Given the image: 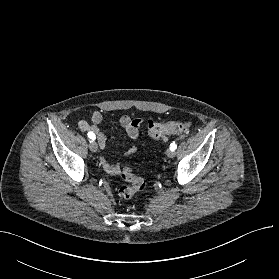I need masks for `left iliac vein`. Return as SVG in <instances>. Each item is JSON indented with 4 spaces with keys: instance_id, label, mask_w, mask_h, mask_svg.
I'll return each instance as SVG.
<instances>
[{
    "instance_id": "left-iliac-vein-1",
    "label": "left iliac vein",
    "mask_w": 279,
    "mask_h": 279,
    "mask_svg": "<svg viewBox=\"0 0 279 279\" xmlns=\"http://www.w3.org/2000/svg\"><path fill=\"white\" fill-rule=\"evenodd\" d=\"M166 154H167V156H168L169 158H173V157L175 156L176 153H175V151L167 150Z\"/></svg>"
}]
</instances>
